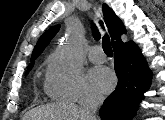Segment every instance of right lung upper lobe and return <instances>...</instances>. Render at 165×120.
Instances as JSON below:
<instances>
[{"label": "right lung upper lobe", "instance_id": "obj_1", "mask_svg": "<svg viewBox=\"0 0 165 120\" xmlns=\"http://www.w3.org/2000/svg\"><path fill=\"white\" fill-rule=\"evenodd\" d=\"M103 15L106 26L108 28L109 34L112 39V46H115L118 43L123 42L124 34H126V29L122 21L115 15L114 11L107 5L103 4ZM60 25H55L48 29L39 39L36 46L34 47L31 64H34V60L42 53L44 48L48 45L50 40L55 36L59 31ZM93 35L96 39L100 38V34L96 27H93Z\"/></svg>", "mask_w": 165, "mask_h": 120}]
</instances>
